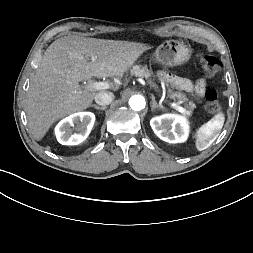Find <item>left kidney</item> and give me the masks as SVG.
Wrapping results in <instances>:
<instances>
[{"label":"left kidney","instance_id":"1","mask_svg":"<svg viewBox=\"0 0 253 253\" xmlns=\"http://www.w3.org/2000/svg\"><path fill=\"white\" fill-rule=\"evenodd\" d=\"M150 125L154 133L168 143H182L187 140L189 125L185 117L177 114H163L153 117Z\"/></svg>","mask_w":253,"mask_h":253}]
</instances>
